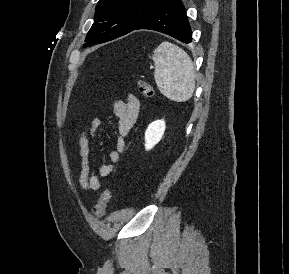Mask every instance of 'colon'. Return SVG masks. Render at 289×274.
Masks as SVG:
<instances>
[{
    "label": "colon",
    "instance_id": "5ec220e1",
    "mask_svg": "<svg viewBox=\"0 0 289 274\" xmlns=\"http://www.w3.org/2000/svg\"><path fill=\"white\" fill-rule=\"evenodd\" d=\"M137 88L139 93L146 98H151L154 95L153 87L145 80L138 79ZM111 196L112 192L110 188H106L101 192L96 205H94L91 209V212L95 217H101L104 214Z\"/></svg>",
    "mask_w": 289,
    "mask_h": 274
}]
</instances>
